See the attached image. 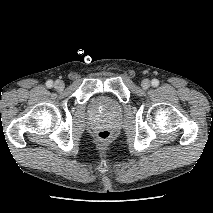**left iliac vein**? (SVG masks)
<instances>
[{"instance_id":"1","label":"left iliac vein","mask_w":213,"mask_h":213,"mask_svg":"<svg viewBox=\"0 0 213 213\" xmlns=\"http://www.w3.org/2000/svg\"><path fill=\"white\" fill-rule=\"evenodd\" d=\"M141 86L143 89H148L150 87V81L148 79L142 80Z\"/></svg>"}]
</instances>
